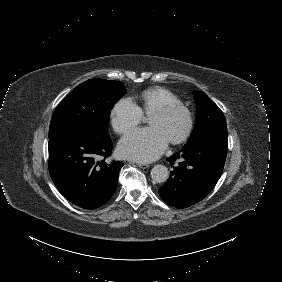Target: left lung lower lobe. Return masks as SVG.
<instances>
[{
  "mask_svg": "<svg viewBox=\"0 0 282 282\" xmlns=\"http://www.w3.org/2000/svg\"><path fill=\"white\" fill-rule=\"evenodd\" d=\"M227 154V127L206 130L169 157L170 178L159 188L160 197L176 208H186L204 199L214 188Z\"/></svg>",
  "mask_w": 282,
  "mask_h": 282,
  "instance_id": "left-lung-lower-lobe-1",
  "label": "left lung lower lobe"
}]
</instances>
